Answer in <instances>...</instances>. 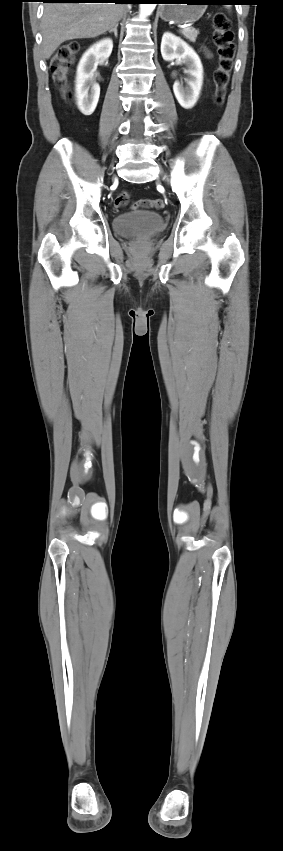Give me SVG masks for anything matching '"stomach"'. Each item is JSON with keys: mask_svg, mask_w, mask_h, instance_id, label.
<instances>
[{"mask_svg": "<svg viewBox=\"0 0 283 851\" xmlns=\"http://www.w3.org/2000/svg\"><path fill=\"white\" fill-rule=\"evenodd\" d=\"M207 0H169L161 5L159 15L164 21L177 24L193 23L199 20L206 10Z\"/></svg>", "mask_w": 283, "mask_h": 851, "instance_id": "0dacf381", "label": "stomach"}]
</instances>
